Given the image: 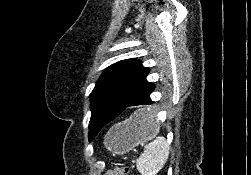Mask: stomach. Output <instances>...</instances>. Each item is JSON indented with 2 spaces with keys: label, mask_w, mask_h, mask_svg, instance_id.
<instances>
[{
  "label": "stomach",
  "mask_w": 251,
  "mask_h": 175,
  "mask_svg": "<svg viewBox=\"0 0 251 175\" xmlns=\"http://www.w3.org/2000/svg\"><path fill=\"white\" fill-rule=\"evenodd\" d=\"M162 118L157 114H140L134 111L128 119L119 121L110 127L104 137V145L113 155H124L134 149L138 143H145L157 134H166Z\"/></svg>",
  "instance_id": "obj_1"
}]
</instances>
